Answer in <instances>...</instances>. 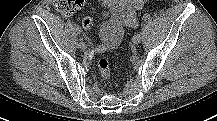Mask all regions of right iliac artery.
Returning <instances> with one entry per match:
<instances>
[{
    "label": "right iliac artery",
    "mask_w": 217,
    "mask_h": 121,
    "mask_svg": "<svg viewBox=\"0 0 217 121\" xmlns=\"http://www.w3.org/2000/svg\"><path fill=\"white\" fill-rule=\"evenodd\" d=\"M75 33L78 34V35H81L82 34V29L79 26H76L75 27Z\"/></svg>",
    "instance_id": "82829eb1"
}]
</instances>
